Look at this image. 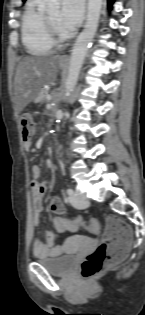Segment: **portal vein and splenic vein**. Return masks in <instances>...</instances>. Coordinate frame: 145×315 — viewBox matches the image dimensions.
Instances as JSON below:
<instances>
[{
  "mask_svg": "<svg viewBox=\"0 0 145 315\" xmlns=\"http://www.w3.org/2000/svg\"><path fill=\"white\" fill-rule=\"evenodd\" d=\"M47 99H48V100H50V99H51V96H50V95H48V96H47Z\"/></svg>",
  "mask_w": 145,
  "mask_h": 315,
  "instance_id": "obj_1",
  "label": "portal vein and splenic vein"
}]
</instances>
